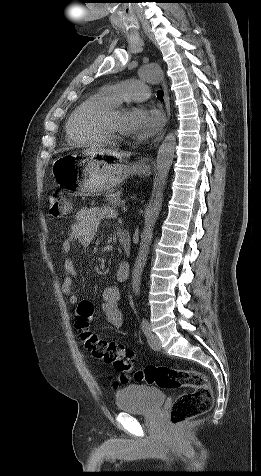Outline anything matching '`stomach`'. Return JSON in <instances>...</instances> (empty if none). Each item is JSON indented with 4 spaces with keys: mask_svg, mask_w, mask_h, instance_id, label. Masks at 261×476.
I'll return each instance as SVG.
<instances>
[{
    "mask_svg": "<svg viewBox=\"0 0 261 476\" xmlns=\"http://www.w3.org/2000/svg\"><path fill=\"white\" fill-rule=\"evenodd\" d=\"M111 152L82 151L80 156H59L54 164L56 183L70 195H94L109 191L133 174L148 175L150 167L144 164L109 162Z\"/></svg>",
    "mask_w": 261,
    "mask_h": 476,
    "instance_id": "1",
    "label": "stomach"
}]
</instances>
